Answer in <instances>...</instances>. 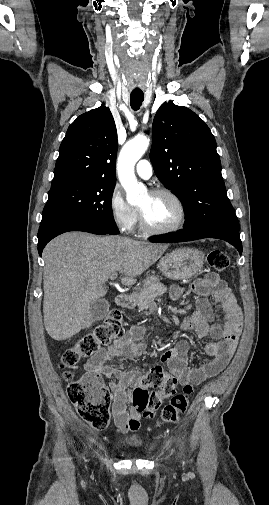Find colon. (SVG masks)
<instances>
[{
  "instance_id": "colon-1",
  "label": "colon",
  "mask_w": 269,
  "mask_h": 505,
  "mask_svg": "<svg viewBox=\"0 0 269 505\" xmlns=\"http://www.w3.org/2000/svg\"><path fill=\"white\" fill-rule=\"evenodd\" d=\"M208 263L216 271L229 266L228 255L219 249L211 250ZM123 333L121 312L112 309L107 318L74 345L67 348L60 360L63 378L68 381L67 393L80 417L97 430L105 429L110 420V396L98 375L85 374L74 380L73 370L85 358H91ZM177 379L161 367H153L143 375L133 390V406L144 417H152L164 398L171 397L161 413V423L175 424L189 404L193 387L187 384L181 393H176ZM150 389H153L150 391Z\"/></svg>"
}]
</instances>
